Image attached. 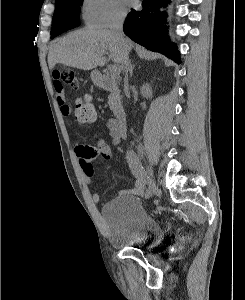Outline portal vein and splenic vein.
<instances>
[{
	"instance_id": "18ae733b",
	"label": "portal vein and splenic vein",
	"mask_w": 245,
	"mask_h": 300,
	"mask_svg": "<svg viewBox=\"0 0 245 300\" xmlns=\"http://www.w3.org/2000/svg\"><path fill=\"white\" fill-rule=\"evenodd\" d=\"M110 72L111 74L113 75H117L120 73V67L118 65H113L111 68H110Z\"/></svg>"
}]
</instances>
